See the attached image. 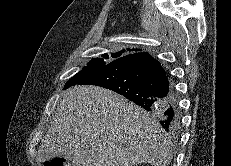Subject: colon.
<instances>
[{"label": "colon", "instance_id": "colon-1", "mask_svg": "<svg viewBox=\"0 0 231 166\" xmlns=\"http://www.w3.org/2000/svg\"><path fill=\"white\" fill-rule=\"evenodd\" d=\"M44 166H64L63 159L61 158H54L52 160L46 161Z\"/></svg>", "mask_w": 231, "mask_h": 166}]
</instances>
